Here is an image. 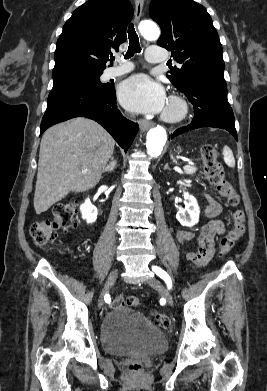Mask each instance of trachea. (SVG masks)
Instances as JSON below:
<instances>
[{"instance_id":"3493384b","label":"trachea","mask_w":267,"mask_h":391,"mask_svg":"<svg viewBox=\"0 0 267 391\" xmlns=\"http://www.w3.org/2000/svg\"><path fill=\"white\" fill-rule=\"evenodd\" d=\"M128 39H129V47L127 53L124 55L126 59H129L135 53L141 52L139 38L135 31L134 25L132 23L128 27ZM111 59L114 60V57H112Z\"/></svg>"}]
</instances>
